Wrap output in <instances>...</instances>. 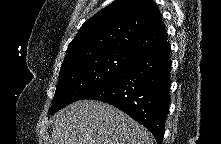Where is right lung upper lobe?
<instances>
[{"label":"right lung upper lobe","instance_id":"cb5924a9","mask_svg":"<svg viewBox=\"0 0 221 144\" xmlns=\"http://www.w3.org/2000/svg\"><path fill=\"white\" fill-rule=\"evenodd\" d=\"M165 40L167 32L152 0H116L83 23L62 66L109 50L139 56Z\"/></svg>","mask_w":221,"mask_h":144}]
</instances>
